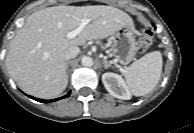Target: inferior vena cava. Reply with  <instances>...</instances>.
Masks as SVG:
<instances>
[{"mask_svg":"<svg viewBox=\"0 0 194 133\" xmlns=\"http://www.w3.org/2000/svg\"><path fill=\"white\" fill-rule=\"evenodd\" d=\"M80 52V49L78 47H70L64 55L65 60L73 59L75 58L78 53Z\"/></svg>","mask_w":194,"mask_h":133,"instance_id":"602c4592","label":"inferior vena cava"}]
</instances>
